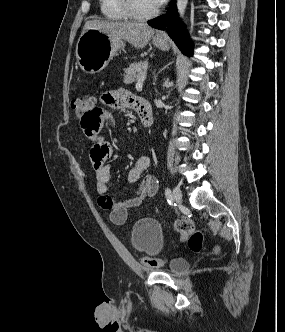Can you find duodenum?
Masks as SVG:
<instances>
[{
    "label": "duodenum",
    "instance_id": "410a0bca",
    "mask_svg": "<svg viewBox=\"0 0 285 332\" xmlns=\"http://www.w3.org/2000/svg\"><path fill=\"white\" fill-rule=\"evenodd\" d=\"M137 108L141 124L144 127H150L153 124V114L149 102L144 99H137Z\"/></svg>",
    "mask_w": 285,
    "mask_h": 332
}]
</instances>
